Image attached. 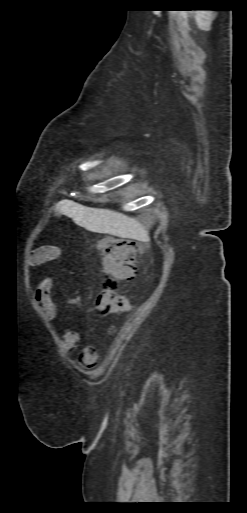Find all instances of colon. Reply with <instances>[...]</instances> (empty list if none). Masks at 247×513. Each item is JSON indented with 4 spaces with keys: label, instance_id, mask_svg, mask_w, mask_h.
I'll use <instances>...</instances> for the list:
<instances>
[{
    "label": "colon",
    "instance_id": "obj_1",
    "mask_svg": "<svg viewBox=\"0 0 247 513\" xmlns=\"http://www.w3.org/2000/svg\"><path fill=\"white\" fill-rule=\"evenodd\" d=\"M99 251L102 270L108 280L93 305V312L98 317H105L110 311H120L128 306V299L118 292L115 282L135 276L137 250L132 240L107 237L100 242Z\"/></svg>",
    "mask_w": 247,
    "mask_h": 513
}]
</instances>
